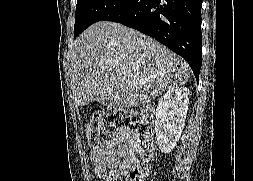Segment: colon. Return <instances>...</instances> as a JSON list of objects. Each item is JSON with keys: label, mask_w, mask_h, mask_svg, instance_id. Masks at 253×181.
<instances>
[{"label": "colon", "mask_w": 253, "mask_h": 181, "mask_svg": "<svg viewBox=\"0 0 253 181\" xmlns=\"http://www.w3.org/2000/svg\"><path fill=\"white\" fill-rule=\"evenodd\" d=\"M87 137L95 149H104L122 140L129 141V156L109 181L144 180L153 152V131L145 117L118 110L100 112L89 123Z\"/></svg>", "instance_id": "colon-1"}]
</instances>
